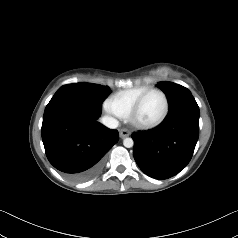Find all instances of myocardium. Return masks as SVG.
I'll use <instances>...</instances> for the list:
<instances>
[{"mask_svg": "<svg viewBox=\"0 0 238 238\" xmlns=\"http://www.w3.org/2000/svg\"><path fill=\"white\" fill-rule=\"evenodd\" d=\"M154 91L159 92L163 96V99H164V102H165V107H164L163 113L155 121L148 122V123L139 122L138 119H137V116H138V112H139V110H140V108L142 106V103L145 100V98L151 92H154ZM169 107H170V104H169V99H168V96H167L166 92L163 89L159 88V87H150V88H148L146 91H144L138 97V99L134 103V105H133V107H132V109H131V111H130V113L128 115V118H129V121L134 126H136L137 128H140V129H152V128H155L158 125H160L166 119V117H167V115L169 113Z\"/></svg>", "mask_w": 238, "mask_h": 238, "instance_id": "myocardium-1", "label": "myocardium"}]
</instances>
